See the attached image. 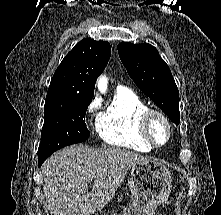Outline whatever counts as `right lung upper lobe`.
Masks as SVG:
<instances>
[{
  "label": "right lung upper lobe",
  "mask_w": 221,
  "mask_h": 215,
  "mask_svg": "<svg viewBox=\"0 0 221 215\" xmlns=\"http://www.w3.org/2000/svg\"><path fill=\"white\" fill-rule=\"evenodd\" d=\"M111 55L106 41L81 40L65 56L56 69L45 104L60 101H92L97 77L103 72Z\"/></svg>",
  "instance_id": "1"
}]
</instances>
